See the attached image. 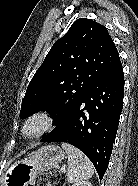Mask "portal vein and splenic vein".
<instances>
[{
	"instance_id": "obj_1",
	"label": "portal vein and splenic vein",
	"mask_w": 138,
	"mask_h": 186,
	"mask_svg": "<svg viewBox=\"0 0 138 186\" xmlns=\"http://www.w3.org/2000/svg\"><path fill=\"white\" fill-rule=\"evenodd\" d=\"M61 172L65 173L66 169L65 168H61Z\"/></svg>"
}]
</instances>
